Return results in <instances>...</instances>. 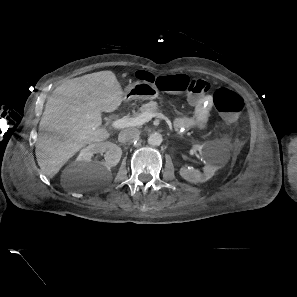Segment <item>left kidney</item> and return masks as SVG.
<instances>
[{
    "label": "left kidney",
    "instance_id": "left-kidney-1",
    "mask_svg": "<svg viewBox=\"0 0 297 297\" xmlns=\"http://www.w3.org/2000/svg\"><path fill=\"white\" fill-rule=\"evenodd\" d=\"M192 151H198L201 158L205 162L203 173L194 168L181 167L179 170L180 176L188 182L198 183L209 180L224 163L217 151L210 143L202 145H194Z\"/></svg>",
    "mask_w": 297,
    "mask_h": 297
}]
</instances>
